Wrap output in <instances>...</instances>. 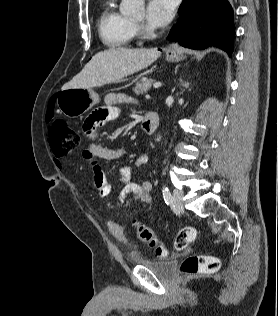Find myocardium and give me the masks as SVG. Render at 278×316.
I'll return each mask as SVG.
<instances>
[{
    "label": "myocardium",
    "mask_w": 278,
    "mask_h": 316,
    "mask_svg": "<svg viewBox=\"0 0 278 316\" xmlns=\"http://www.w3.org/2000/svg\"><path fill=\"white\" fill-rule=\"evenodd\" d=\"M144 35H145L146 37H150V36H152V34H151V33H149V32H145V33H144Z\"/></svg>",
    "instance_id": "1"
}]
</instances>
